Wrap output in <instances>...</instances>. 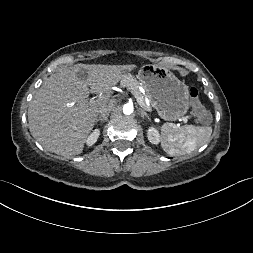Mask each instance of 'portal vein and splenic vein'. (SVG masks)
Masks as SVG:
<instances>
[{
    "label": "portal vein and splenic vein",
    "mask_w": 253,
    "mask_h": 253,
    "mask_svg": "<svg viewBox=\"0 0 253 253\" xmlns=\"http://www.w3.org/2000/svg\"><path fill=\"white\" fill-rule=\"evenodd\" d=\"M127 89L135 96L137 102H138L141 106H145L142 97L138 94V92H137L134 88L128 87ZM102 98H103V97H99V99L95 100V98L93 97V98L90 99V101L96 103V102H98V101H99L100 99H102ZM146 110L151 111L148 107H146ZM182 121H183L184 123H186V122H187V119H186V118H182Z\"/></svg>",
    "instance_id": "portal-vein-and-splenic-vein-1"
}]
</instances>
